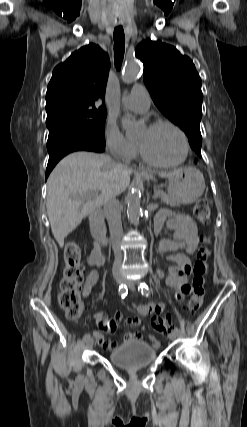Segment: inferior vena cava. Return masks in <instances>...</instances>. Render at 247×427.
<instances>
[{
	"label": "inferior vena cava",
	"instance_id": "obj_1",
	"mask_svg": "<svg viewBox=\"0 0 247 427\" xmlns=\"http://www.w3.org/2000/svg\"><path fill=\"white\" fill-rule=\"evenodd\" d=\"M104 214L108 221L112 247L115 255L113 273H117L122 264L123 254L120 249V240L123 236L121 222V208L116 197L107 198L104 201Z\"/></svg>",
	"mask_w": 247,
	"mask_h": 427
}]
</instances>
